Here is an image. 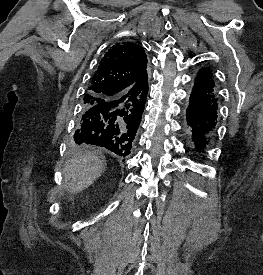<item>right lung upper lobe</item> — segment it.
<instances>
[{"instance_id": "cb5924a9", "label": "right lung upper lobe", "mask_w": 263, "mask_h": 275, "mask_svg": "<svg viewBox=\"0 0 263 275\" xmlns=\"http://www.w3.org/2000/svg\"><path fill=\"white\" fill-rule=\"evenodd\" d=\"M147 57L144 49L132 42L114 44L104 55L88 87V95L100 98L126 94L129 107L142 113L148 85L143 82Z\"/></svg>"}]
</instances>
